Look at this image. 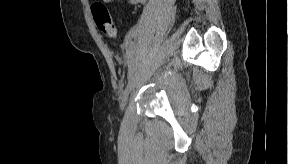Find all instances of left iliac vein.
<instances>
[{
  "mask_svg": "<svg viewBox=\"0 0 288 164\" xmlns=\"http://www.w3.org/2000/svg\"><path fill=\"white\" fill-rule=\"evenodd\" d=\"M133 88H134V81H133V79H131L128 82V84H127V86H126V88L124 90L123 97H122V102L120 104L121 109H124V107L126 105V102L128 100V97H129L130 93L132 92Z\"/></svg>",
  "mask_w": 288,
  "mask_h": 164,
  "instance_id": "obj_1",
  "label": "left iliac vein"
}]
</instances>
